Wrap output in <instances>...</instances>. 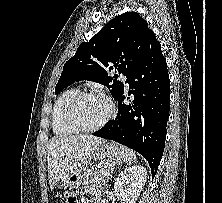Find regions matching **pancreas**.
Segmentation results:
<instances>
[{
    "label": "pancreas",
    "mask_w": 222,
    "mask_h": 203,
    "mask_svg": "<svg viewBox=\"0 0 222 203\" xmlns=\"http://www.w3.org/2000/svg\"><path fill=\"white\" fill-rule=\"evenodd\" d=\"M111 161L103 160L97 163L87 174L85 183H97L108 180L112 167Z\"/></svg>",
    "instance_id": "1"
}]
</instances>
